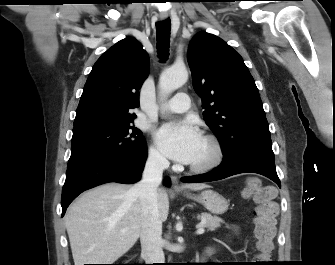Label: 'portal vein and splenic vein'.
I'll return each instance as SVG.
<instances>
[{
    "instance_id": "portal-vein-and-splenic-vein-1",
    "label": "portal vein and splenic vein",
    "mask_w": 335,
    "mask_h": 265,
    "mask_svg": "<svg viewBox=\"0 0 335 265\" xmlns=\"http://www.w3.org/2000/svg\"><path fill=\"white\" fill-rule=\"evenodd\" d=\"M204 231H205L204 227H203V226H200V227L197 229L196 234L201 235V234L204 233Z\"/></svg>"
}]
</instances>
